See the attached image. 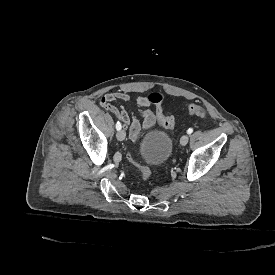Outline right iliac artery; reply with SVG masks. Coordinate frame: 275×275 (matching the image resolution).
Wrapping results in <instances>:
<instances>
[{
  "mask_svg": "<svg viewBox=\"0 0 275 275\" xmlns=\"http://www.w3.org/2000/svg\"><path fill=\"white\" fill-rule=\"evenodd\" d=\"M116 129L118 131L121 129V123L119 121L116 123Z\"/></svg>",
  "mask_w": 275,
  "mask_h": 275,
  "instance_id": "right-iliac-artery-1",
  "label": "right iliac artery"
}]
</instances>
